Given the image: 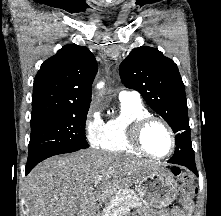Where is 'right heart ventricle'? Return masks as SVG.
I'll return each instance as SVG.
<instances>
[{
	"instance_id": "1",
	"label": "right heart ventricle",
	"mask_w": 221,
	"mask_h": 216,
	"mask_svg": "<svg viewBox=\"0 0 221 216\" xmlns=\"http://www.w3.org/2000/svg\"><path fill=\"white\" fill-rule=\"evenodd\" d=\"M151 115L147 107L138 99L120 100V111L104 123L101 149L114 153L139 154L129 141L132 125Z\"/></svg>"
}]
</instances>
